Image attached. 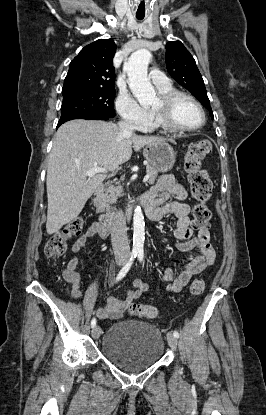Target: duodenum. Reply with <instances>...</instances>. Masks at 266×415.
<instances>
[{
  "label": "duodenum",
  "mask_w": 266,
  "mask_h": 415,
  "mask_svg": "<svg viewBox=\"0 0 266 415\" xmlns=\"http://www.w3.org/2000/svg\"><path fill=\"white\" fill-rule=\"evenodd\" d=\"M103 193V185H98L95 190H94V194H93V199L91 202L92 205V209H95L101 195ZM140 206L142 208L146 209L145 204L140 203ZM135 206L131 207L128 209L127 211V217L130 218L134 212ZM99 221L100 224L102 225V227L104 229H106L107 231L111 230L112 228H114L118 222V216L115 213H102L99 216Z\"/></svg>",
  "instance_id": "1"
}]
</instances>
